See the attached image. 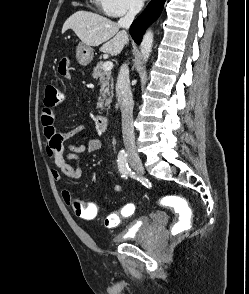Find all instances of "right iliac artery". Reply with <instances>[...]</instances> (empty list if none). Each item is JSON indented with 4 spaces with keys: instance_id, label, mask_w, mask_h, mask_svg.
<instances>
[{
    "instance_id": "obj_1",
    "label": "right iliac artery",
    "mask_w": 249,
    "mask_h": 294,
    "mask_svg": "<svg viewBox=\"0 0 249 294\" xmlns=\"http://www.w3.org/2000/svg\"><path fill=\"white\" fill-rule=\"evenodd\" d=\"M117 163H118L119 171L122 174V177L127 179L129 175L134 174V172H131V169L129 168L128 161H127V153L125 152V150H121L119 152Z\"/></svg>"
}]
</instances>
